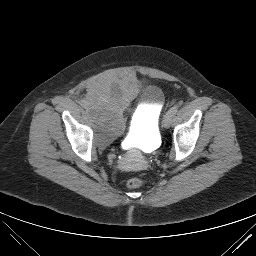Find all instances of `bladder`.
I'll list each match as a JSON object with an SVG mask.
<instances>
[{"label":"bladder","mask_w":256,"mask_h":256,"mask_svg":"<svg viewBox=\"0 0 256 256\" xmlns=\"http://www.w3.org/2000/svg\"><path fill=\"white\" fill-rule=\"evenodd\" d=\"M144 100L136 114L129 135L152 145L159 139V118L165 102L161 88H141L131 77L110 75L96 81L86 96V112L98 144L108 145L125 130L124 114L138 98Z\"/></svg>","instance_id":"1"}]
</instances>
